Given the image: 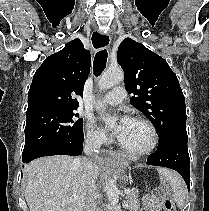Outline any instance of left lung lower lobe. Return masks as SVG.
Listing matches in <instances>:
<instances>
[{
	"mask_svg": "<svg viewBox=\"0 0 209 211\" xmlns=\"http://www.w3.org/2000/svg\"><path fill=\"white\" fill-rule=\"evenodd\" d=\"M187 135H177L147 158L148 165L163 166L176 170L190 187V158Z\"/></svg>",
	"mask_w": 209,
	"mask_h": 211,
	"instance_id": "left-lung-lower-lobe-1",
	"label": "left lung lower lobe"
}]
</instances>
